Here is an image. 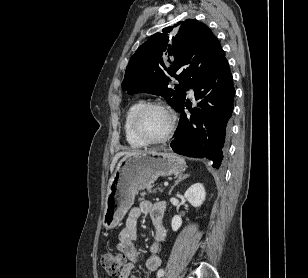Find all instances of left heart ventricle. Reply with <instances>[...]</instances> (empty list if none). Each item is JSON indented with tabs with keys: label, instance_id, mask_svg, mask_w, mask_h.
I'll use <instances>...</instances> for the list:
<instances>
[{
	"label": "left heart ventricle",
	"instance_id": "b2bd125f",
	"mask_svg": "<svg viewBox=\"0 0 308 278\" xmlns=\"http://www.w3.org/2000/svg\"><path fill=\"white\" fill-rule=\"evenodd\" d=\"M143 131L152 138L162 137L169 127V116L161 109H150L140 121Z\"/></svg>",
	"mask_w": 308,
	"mask_h": 278
}]
</instances>
